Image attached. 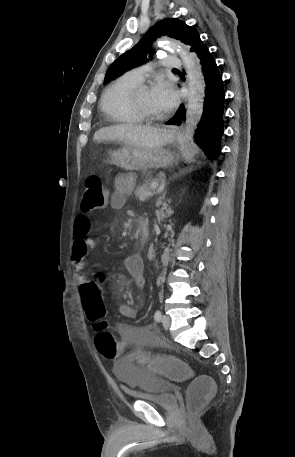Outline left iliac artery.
<instances>
[{
    "label": "left iliac artery",
    "instance_id": "1",
    "mask_svg": "<svg viewBox=\"0 0 295 457\" xmlns=\"http://www.w3.org/2000/svg\"><path fill=\"white\" fill-rule=\"evenodd\" d=\"M161 317H162L161 312H160L159 310H157V311L155 312V314H154V319H155V321L160 322Z\"/></svg>",
    "mask_w": 295,
    "mask_h": 457
}]
</instances>
